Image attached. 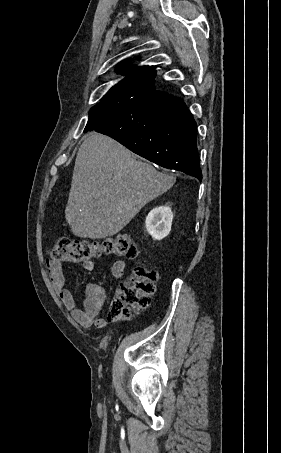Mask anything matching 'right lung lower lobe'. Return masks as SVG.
I'll list each match as a JSON object with an SVG mask.
<instances>
[{
	"instance_id": "98d812e1",
	"label": "right lung lower lobe",
	"mask_w": 281,
	"mask_h": 453,
	"mask_svg": "<svg viewBox=\"0 0 281 453\" xmlns=\"http://www.w3.org/2000/svg\"><path fill=\"white\" fill-rule=\"evenodd\" d=\"M91 130L162 167L202 180L196 122L178 97L152 90L111 107L92 108L85 128Z\"/></svg>"
}]
</instances>
